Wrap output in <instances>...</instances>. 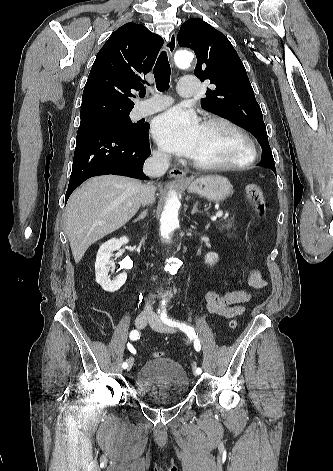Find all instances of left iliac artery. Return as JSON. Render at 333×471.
<instances>
[{
	"label": "left iliac artery",
	"mask_w": 333,
	"mask_h": 471,
	"mask_svg": "<svg viewBox=\"0 0 333 471\" xmlns=\"http://www.w3.org/2000/svg\"><path fill=\"white\" fill-rule=\"evenodd\" d=\"M160 318L162 320V322L170 327H176V328H179L181 331H183L184 333L187 334V336L190 338V339H193L194 340V347L196 349V351H200L201 349V345H200V341L198 339V334H196L194 328L192 326H189L187 325L186 323L184 322H179V321H176V320H172V319H169L167 317V314L166 312H162L161 315H160ZM196 373L197 374H201L202 373V369L200 367L196 368Z\"/></svg>",
	"instance_id": "obj_1"
}]
</instances>
